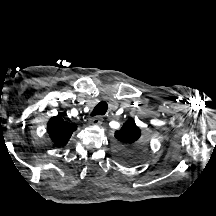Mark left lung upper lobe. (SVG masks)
Returning <instances> with one entry per match:
<instances>
[{
    "mask_svg": "<svg viewBox=\"0 0 216 216\" xmlns=\"http://www.w3.org/2000/svg\"><path fill=\"white\" fill-rule=\"evenodd\" d=\"M118 141L115 157L124 164L137 163L143 154L147 141L141 137V130L133 119L127 120L119 130L115 131Z\"/></svg>",
    "mask_w": 216,
    "mask_h": 216,
    "instance_id": "5c2ea615",
    "label": "left lung upper lobe"
}]
</instances>
